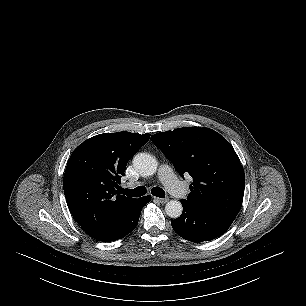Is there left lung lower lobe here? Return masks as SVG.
Wrapping results in <instances>:
<instances>
[{"label": "left lung lower lobe", "instance_id": "left-lung-lower-lobe-1", "mask_svg": "<svg viewBox=\"0 0 306 306\" xmlns=\"http://www.w3.org/2000/svg\"><path fill=\"white\" fill-rule=\"evenodd\" d=\"M182 215L171 221L174 231L192 242H203L221 236L232 224L235 216L196 208L183 200Z\"/></svg>", "mask_w": 306, "mask_h": 306}]
</instances>
